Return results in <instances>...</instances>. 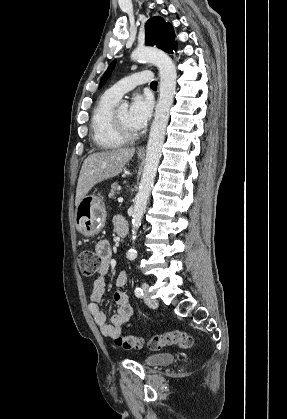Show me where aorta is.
Returning <instances> with one entry per match:
<instances>
[{"instance_id": "762f6f07", "label": "aorta", "mask_w": 287, "mask_h": 419, "mask_svg": "<svg viewBox=\"0 0 287 419\" xmlns=\"http://www.w3.org/2000/svg\"><path fill=\"white\" fill-rule=\"evenodd\" d=\"M131 58L137 61L152 62L158 67L160 73L159 99L150 128L143 174L138 193L134 199L132 238L135 239L156 177L169 120V112L174 100L177 73L172 59L166 53L156 48L138 47L132 52ZM136 256L137 252L134 248H131L127 253V257L130 260H134Z\"/></svg>"}]
</instances>
